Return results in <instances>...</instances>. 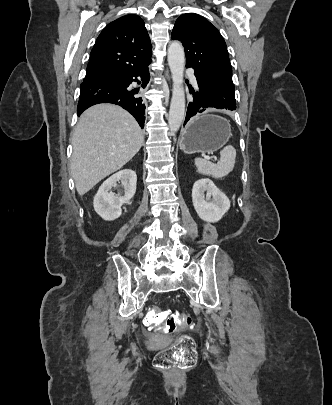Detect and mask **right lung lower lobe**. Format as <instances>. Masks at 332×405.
<instances>
[{"mask_svg":"<svg viewBox=\"0 0 332 405\" xmlns=\"http://www.w3.org/2000/svg\"><path fill=\"white\" fill-rule=\"evenodd\" d=\"M147 63L133 71L118 75L99 76L86 79L81 83L80 98L77 115L92 105L98 103H114L129 111L138 121L141 128L144 127L145 105L142 98L138 97V89H132L133 81L139 83L140 78L144 88L149 81ZM141 83V82H140Z\"/></svg>","mask_w":332,"mask_h":405,"instance_id":"right-lung-lower-lobe-1","label":"right lung lower lobe"}]
</instances>
